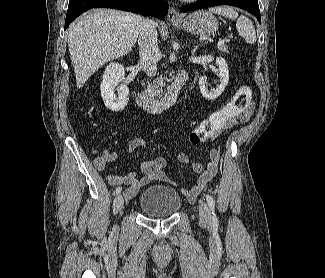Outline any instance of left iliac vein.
I'll use <instances>...</instances> for the list:
<instances>
[{
    "label": "left iliac vein",
    "mask_w": 325,
    "mask_h": 278,
    "mask_svg": "<svg viewBox=\"0 0 325 278\" xmlns=\"http://www.w3.org/2000/svg\"><path fill=\"white\" fill-rule=\"evenodd\" d=\"M199 221L203 225H207L210 223L209 208L204 201H201L199 205Z\"/></svg>",
    "instance_id": "4c4485c4"
}]
</instances>
